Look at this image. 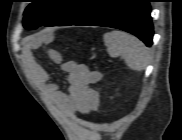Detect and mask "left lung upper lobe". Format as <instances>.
Wrapping results in <instances>:
<instances>
[{
    "mask_svg": "<svg viewBox=\"0 0 182 140\" xmlns=\"http://www.w3.org/2000/svg\"><path fill=\"white\" fill-rule=\"evenodd\" d=\"M103 0H32L25 9L26 29L41 26H68L89 13Z\"/></svg>",
    "mask_w": 182,
    "mask_h": 140,
    "instance_id": "obj_1",
    "label": "left lung upper lobe"
}]
</instances>
